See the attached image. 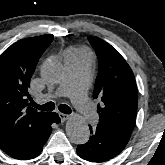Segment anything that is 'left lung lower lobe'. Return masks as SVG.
I'll return each instance as SVG.
<instances>
[{"label":"left lung lower lobe","mask_w":165,"mask_h":165,"mask_svg":"<svg viewBox=\"0 0 165 165\" xmlns=\"http://www.w3.org/2000/svg\"><path fill=\"white\" fill-rule=\"evenodd\" d=\"M89 128L91 136L88 142L77 147V154L84 160L107 161L120 154L128 143V138L119 136L99 125L96 128L89 125Z\"/></svg>","instance_id":"0a47b994"}]
</instances>
